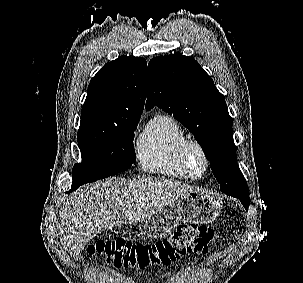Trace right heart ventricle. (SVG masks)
Masks as SVG:
<instances>
[{
  "instance_id": "right-heart-ventricle-1",
  "label": "right heart ventricle",
  "mask_w": 303,
  "mask_h": 283,
  "mask_svg": "<svg viewBox=\"0 0 303 283\" xmlns=\"http://www.w3.org/2000/svg\"><path fill=\"white\" fill-rule=\"evenodd\" d=\"M187 140L186 132L172 116H154L137 144L140 166L149 173L177 180L189 179L181 162V149Z\"/></svg>"
}]
</instances>
